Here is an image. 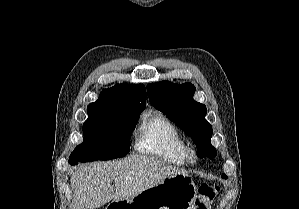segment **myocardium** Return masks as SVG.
Instances as JSON below:
<instances>
[{
  "mask_svg": "<svg viewBox=\"0 0 299 209\" xmlns=\"http://www.w3.org/2000/svg\"><path fill=\"white\" fill-rule=\"evenodd\" d=\"M188 162L194 164L198 160L197 150L195 148H189L188 149V155H187Z\"/></svg>",
  "mask_w": 299,
  "mask_h": 209,
  "instance_id": "1",
  "label": "myocardium"
}]
</instances>
